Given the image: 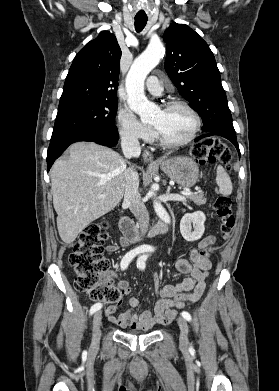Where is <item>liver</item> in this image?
<instances>
[{
	"label": "liver",
	"mask_w": 279,
	"mask_h": 391,
	"mask_svg": "<svg viewBox=\"0 0 279 391\" xmlns=\"http://www.w3.org/2000/svg\"><path fill=\"white\" fill-rule=\"evenodd\" d=\"M68 154L53 164L50 178L58 232L64 243L71 244L123 198L126 161L93 142L74 143Z\"/></svg>",
	"instance_id": "1"
}]
</instances>
